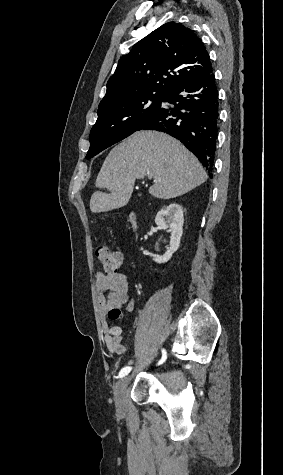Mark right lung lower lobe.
<instances>
[{
  "label": "right lung lower lobe",
  "mask_w": 283,
  "mask_h": 475,
  "mask_svg": "<svg viewBox=\"0 0 283 475\" xmlns=\"http://www.w3.org/2000/svg\"><path fill=\"white\" fill-rule=\"evenodd\" d=\"M160 107L139 130L165 132L180 140L212 177L219 120L218 90L213 70L175 85Z\"/></svg>",
  "instance_id": "right-lung-lower-lobe-1"
}]
</instances>
